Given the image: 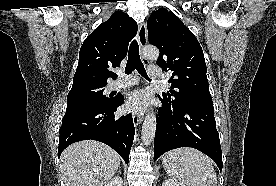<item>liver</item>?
<instances>
[{
  "label": "liver",
  "mask_w": 276,
  "mask_h": 186,
  "mask_svg": "<svg viewBox=\"0 0 276 186\" xmlns=\"http://www.w3.org/2000/svg\"><path fill=\"white\" fill-rule=\"evenodd\" d=\"M120 165V156L108 145L84 140L67 147L60 157L65 186H104Z\"/></svg>",
  "instance_id": "1"
}]
</instances>
